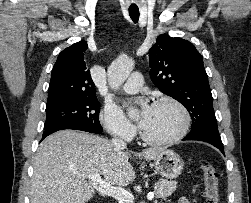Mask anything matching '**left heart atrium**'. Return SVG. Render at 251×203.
Returning a JSON list of instances; mask_svg holds the SVG:
<instances>
[{"mask_svg": "<svg viewBox=\"0 0 251 203\" xmlns=\"http://www.w3.org/2000/svg\"><path fill=\"white\" fill-rule=\"evenodd\" d=\"M151 107L147 102L141 101V117L139 121V126L142 128L149 116Z\"/></svg>", "mask_w": 251, "mask_h": 203, "instance_id": "1", "label": "left heart atrium"}]
</instances>
